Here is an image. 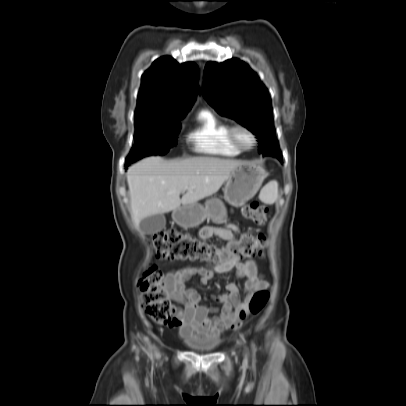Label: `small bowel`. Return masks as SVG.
Segmentation results:
<instances>
[{
	"label": "small bowel",
	"mask_w": 406,
	"mask_h": 406,
	"mask_svg": "<svg viewBox=\"0 0 406 406\" xmlns=\"http://www.w3.org/2000/svg\"><path fill=\"white\" fill-rule=\"evenodd\" d=\"M239 228L235 224L222 227H203L200 237L207 239L216 236L225 241L234 239ZM234 270L235 279L246 278L244 299L235 281L227 283L225 291L213 295L211 300L216 306L203 304L202 296L194 288L188 287V282L199 276L202 285L208 284L215 273H225ZM164 286L167 297L181 305L173 308V317L169 324L178 328L183 337H199L212 339L225 330L235 329L240 325V311L247 307L249 296L256 291L269 288V283L258 273L256 262L249 259L215 267H185L173 270L165 275Z\"/></svg>",
	"instance_id": "c3829d8e"
}]
</instances>
